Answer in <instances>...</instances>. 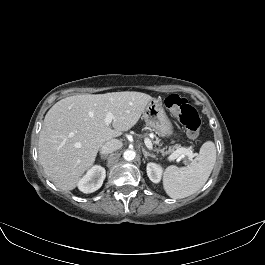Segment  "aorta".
I'll return each mask as SVG.
<instances>
[{"instance_id":"aorta-1","label":"aorta","mask_w":265,"mask_h":265,"mask_svg":"<svg viewBox=\"0 0 265 265\" xmlns=\"http://www.w3.org/2000/svg\"><path fill=\"white\" fill-rule=\"evenodd\" d=\"M123 157L127 161H132L136 157V152L134 150L128 149L123 153Z\"/></svg>"}]
</instances>
